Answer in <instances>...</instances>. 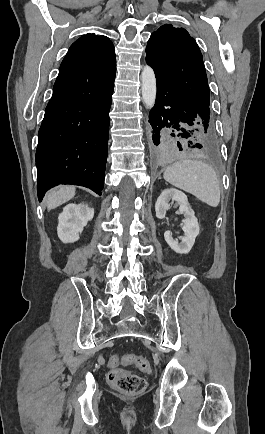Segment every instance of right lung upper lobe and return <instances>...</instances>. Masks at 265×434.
Returning a JSON list of instances; mask_svg holds the SVG:
<instances>
[{
	"instance_id": "right-lung-upper-lobe-1",
	"label": "right lung upper lobe",
	"mask_w": 265,
	"mask_h": 434,
	"mask_svg": "<svg viewBox=\"0 0 265 434\" xmlns=\"http://www.w3.org/2000/svg\"><path fill=\"white\" fill-rule=\"evenodd\" d=\"M69 49L113 51L114 46L108 37L89 33L80 37Z\"/></svg>"
}]
</instances>
